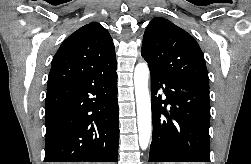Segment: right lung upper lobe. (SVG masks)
I'll return each mask as SVG.
<instances>
[{
	"mask_svg": "<svg viewBox=\"0 0 251 164\" xmlns=\"http://www.w3.org/2000/svg\"><path fill=\"white\" fill-rule=\"evenodd\" d=\"M116 66L113 40L99 23L91 22L71 34L55 54L47 89Z\"/></svg>",
	"mask_w": 251,
	"mask_h": 164,
	"instance_id": "cb5924a9",
	"label": "right lung upper lobe"
}]
</instances>
